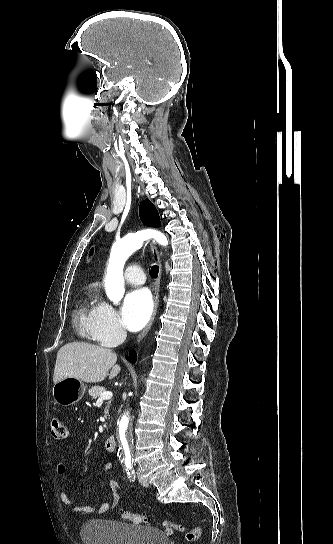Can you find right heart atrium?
I'll list each match as a JSON object with an SVG mask.
<instances>
[{"mask_svg": "<svg viewBox=\"0 0 333 544\" xmlns=\"http://www.w3.org/2000/svg\"><path fill=\"white\" fill-rule=\"evenodd\" d=\"M88 328L92 338L103 346L119 343L126 334L118 313L104 301L95 307Z\"/></svg>", "mask_w": 333, "mask_h": 544, "instance_id": "right-heart-atrium-1", "label": "right heart atrium"}]
</instances>
